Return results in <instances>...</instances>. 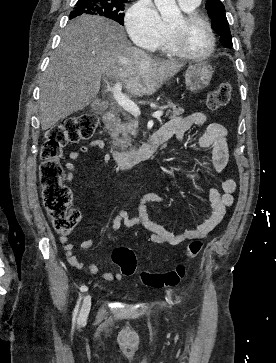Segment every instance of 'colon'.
Listing matches in <instances>:
<instances>
[{
    "instance_id": "colon-1",
    "label": "colon",
    "mask_w": 276,
    "mask_h": 363,
    "mask_svg": "<svg viewBox=\"0 0 276 363\" xmlns=\"http://www.w3.org/2000/svg\"><path fill=\"white\" fill-rule=\"evenodd\" d=\"M232 89L228 83H221L207 97L206 105L210 111L226 106L231 98ZM97 124L94 114L86 112L63 119L45 133L41 148L40 184L43 206L50 217L54 231L67 235L80 220V211L72 207V193L65 185L66 173L61 164L63 149L71 143L92 137ZM199 240L192 241L186 250L188 259L195 258L201 250ZM112 260L120 266L122 274L133 275L136 270L135 253L128 248L119 247L113 251ZM185 275V264L166 274L142 271V283L151 288L173 287Z\"/></svg>"
}]
</instances>
